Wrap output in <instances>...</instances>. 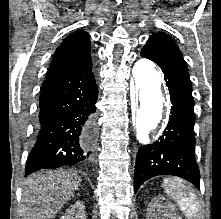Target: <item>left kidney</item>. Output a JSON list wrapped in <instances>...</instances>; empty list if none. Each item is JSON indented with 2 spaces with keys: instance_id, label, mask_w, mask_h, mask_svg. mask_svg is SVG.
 <instances>
[{
  "instance_id": "obj_1",
  "label": "left kidney",
  "mask_w": 221,
  "mask_h": 219,
  "mask_svg": "<svg viewBox=\"0 0 221 219\" xmlns=\"http://www.w3.org/2000/svg\"><path fill=\"white\" fill-rule=\"evenodd\" d=\"M146 219H181L177 216L175 208L163 197L151 200L147 209Z\"/></svg>"
}]
</instances>
